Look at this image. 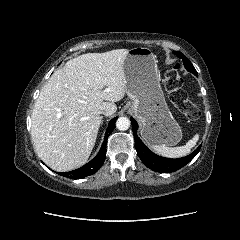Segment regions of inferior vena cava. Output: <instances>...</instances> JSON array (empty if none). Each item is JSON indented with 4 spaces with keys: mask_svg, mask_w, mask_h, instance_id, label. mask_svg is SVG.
Segmentation results:
<instances>
[{
    "mask_svg": "<svg viewBox=\"0 0 240 240\" xmlns=\"http://www.w3.org/2000/svg\"><path fill=\"white\" fill-rule=\"evenodd\" d=\"M100 113H101V114H104V115H108V112L105 111V110L101 111Z\"/></svg>",
    "mask_w": 240,
    "mask_h": 240,
    "instance_id": "obj_1",
    "label": "inferior vena cava"
}]
</instances>
